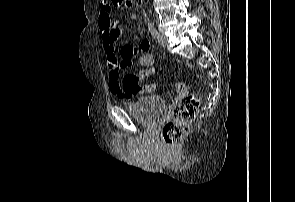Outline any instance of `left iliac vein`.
<instances>
[{"label": "left iliac vein", "instance_id": "1", "mask_svg": "<svg viewBox=\"0 0 295 202\" xmlns=\"http://www.w3.org/2000/svg\"><path fill=\"white\" fill-rule=\"evenodd\" d=\"M168 42V38L167 36H165L164 34L162 33H158V43L161 45V46H165Z\"/></svg>", "mask_w": 295, "mask_h": 202}]
</instances>
